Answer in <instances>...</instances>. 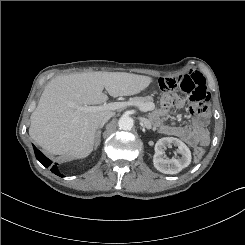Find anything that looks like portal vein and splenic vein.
Returning <instances> with one entry per match:
<instances>
[{
  "instance_id": "1",
  "label": "portal vein and splenic vein",
  "mask_w": 245,
  "mask_h": 245,
  "mask_svg": "<svg viewBox=\"0 0 245 245\" xmlns=\"http://www.w3.org/2000/svg\"><path fill=\"white\" fill-rule=\"evenodd\" d=\"M129 105H131L129 102H111V103H104L103 105H99V106H84L78 108L86 112H96L102 110H117V109L125 108ZM139 108L143 111L146 110L144 105L140 106Z\"/></svg>"
}]
</instances>
